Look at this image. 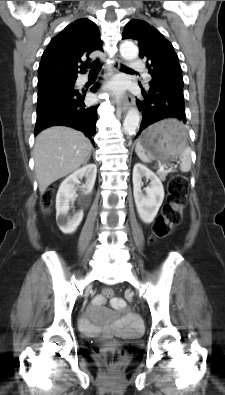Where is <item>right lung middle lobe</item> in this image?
<instances>
[{
	"instance_id": "obj_1",
	"label": "right lung middle lobe",
	"mask_w": 225,
	"mask_h": 395,
	"mask_svg": "<svg viewBox=\"0 0 225 395\" xmlns=\"http://www.w3.org/2000/svg\"><path fill=\"white\" fill-rule=\"evenodd\" d=\"M74 82H75V80H71V81H65V82H61V83H57V84H53V85H48V86H44V87H38V99L44 97L45 95H47L48 93H50L51 91L56 90V89L72 88V87H74Z\"/></svg>"
}]
</instances>
